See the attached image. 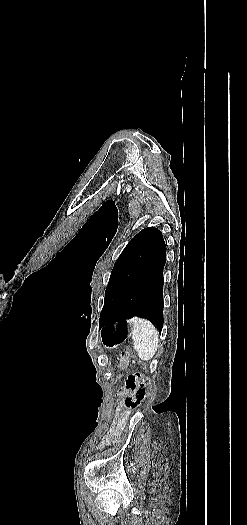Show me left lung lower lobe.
<instances>
[{
    "mask_svg": "<svg viewBox=\"0 0 247 525\" xmlns=\"http://www.w3.org/2000/svg\"><path fill=\"white\" fill-rule=\"evenodd\" d=\"M165 243L155 253L149 266L140 274L105 314L101 326L123 322L134 316L152 321L161 333L163 327V268Z\"/></svg>",
    "mask_w": 247,
    "mask_h": 525,
    "instance_id": "obj_1",
    "label": "left lung lower lobe"
}]
</instances>
